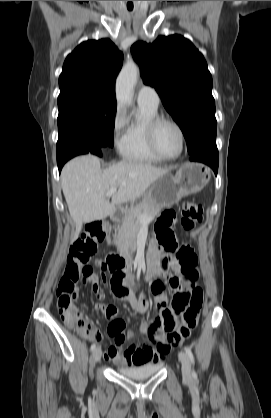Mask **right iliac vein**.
I'll return each instance as SVG.
<instances>
[{
	"instance_id": "right-iliac-vein-1",
	"label": "right iliac vein",
	"mask_w": 271,
	"mask_h": 418,
	"mask_svg": "<svg viewBox=\"0 0 271 418\" xmlns=\"http://www.w3.org/2000/svg\"><path fill=\"white\" fill-rule=\"evenodd\" d=\"M102 351L100 348H96L93 352L94 362H98L101 359Z\"/></svg>"
}]
</instances>
